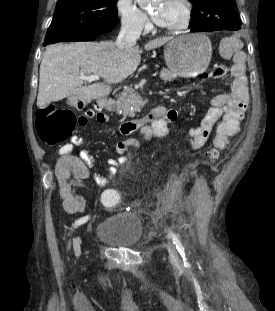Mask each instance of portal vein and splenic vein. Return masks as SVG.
<instances>
[{
    "mask_svg": "<svg viewBox=\"0 0 275 311\" xmlns=\"http://www.w3.org/2000/svg\"><path fill=\"white\" fill-rule=\"evenodd\" d=\"M158 75V73L156 72V73H154L152 76H157ZM80 78L82 79V80H85V81H88V82H92V81H97V80H99L100 79V76H98V75H80Z\"/></svg>",
    "mask_w": 275,
    "mask_h": 311,
    "instance_id": "18ae733b",
    "label": "portal vein and splenic vein"
}]
</instances>
